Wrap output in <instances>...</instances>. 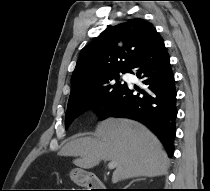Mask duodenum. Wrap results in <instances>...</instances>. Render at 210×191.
Returning <instances> with one entry per match:
<instances>
[{
	"label": "duodenum",
	"instance_id": "obj_1",
	"mask_svg": "<svg viewBox=\"0 0 210 191\" xmlns=\"http://www.w3.org/2000/svg\"><path fill=\"white\" fill-rule=\"evenodd\" d=\"M77 180L86 185L90 191H106L104 182L97 176L90 174L83 169L76 170Z\"/></svg>",
	"mask_w": 210,
	"mask_h": 191
}]
</instances>
